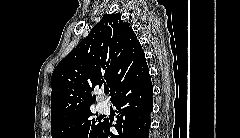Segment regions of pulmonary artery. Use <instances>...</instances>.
Returning a JSON list of instances; mask_svg holds the SVG:
<instances>
[{
    "instance_id": "1",
    "label": "pulmonary artery",
    "mask_w": 240,
    "mask_h": 138,
    "mask_svg": "<svg viewBox=\"0 0 240 138\" xmlns=\"http://www.w3.org/2000/svg\"><path fill=\"white\" fill-rule=\"evenodd\" d=\"M98 108L101 112H106L108 110V104L104 101L98 103Z\"/></svg>"
}]
</instances>
